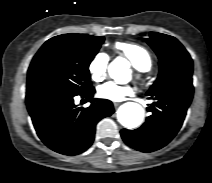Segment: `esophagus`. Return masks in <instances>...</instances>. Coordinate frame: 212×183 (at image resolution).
Returning a JSON list of instances; mask_svg holds the SVG:
<instances>
[{
  "mask_svg": "<svg viewBox=\"0 0 212 183\" xmlns=\"http://www.w3.org/2000/svg\"><path fill=\"white\" fill-rule=\"evenodd\" d=\"M113 105H114V107H118L120 105V103L114 102Z\"/></svg>",
  "mask_w": 212,
  "mask_h": 183,
  "instance_id": "esophagus-1",
  "label": "esophagus"
}]
</instances>
